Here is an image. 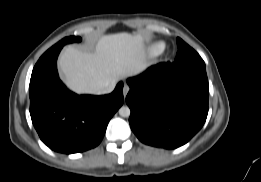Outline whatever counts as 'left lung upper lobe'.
Segmentation results:
<instances>
[{
	"label": "left lung upper lobe",
	"instance_id": "1",
	"mask_svg": "<svg viewBox=\"0 0 261 182\" xmlns=\"http://www.w3.org/2000/svg\"><path fill=\"white\" fill-rule=\"evenodd\" d=\"M178 52L175 58L176 63H204L200 55L182 39L177 38Z\"/></svg>",
	"mask_w": 261,
	"mask_h": 182
}]
</instances>
